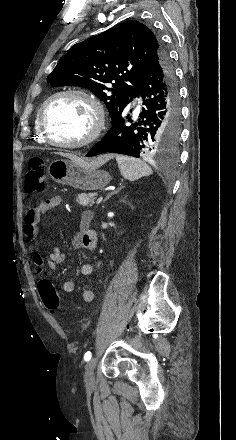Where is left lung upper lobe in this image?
I'll return each mask as SVG.
<instances>
[{"instance_id":"obj_1","label":"left lung upper lobe","mask_w":236,"mask_h":440,"mask_svg":"<svg viewBox=\"0 0 236 440\" xmlns=\"http://www.w3.org/2000/svg\"><path fill=\"white\" fill-rule=\"evenodd\" d=\"M163 52L161 40L146 25L129 20L73 45L47 81L91 90L113 120L137 89L151 59Z\"/></svg>"}]
</instances>
